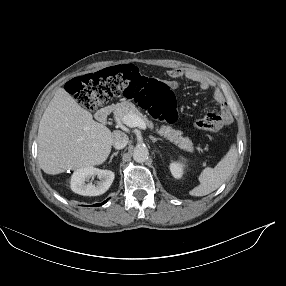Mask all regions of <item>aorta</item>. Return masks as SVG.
Returning <instances> with one entry per match:
<instances>
[{
  "label": "aorta",
  "mask_w": 286,
  "mask_h": 286,
  "mask_svg": "<svg viewBox=\"0 0 286 286\" xmlns=\"http://www.w3.org/2000/svg\"><path fill=\"white\" fill-rule=\"evenodd\" d=\"M148 155L149 152L145 146H137L133 152V159L138 163H142L147 160Z\"/></svg>",
  "instance_id": "1"
}]
</instances>
